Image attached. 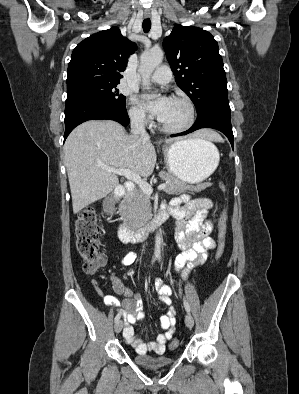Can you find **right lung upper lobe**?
Masks as SVG:
<instances>
[{
  "label": "right lung upper lobe",
  "mask_w": 299,
  "mask_h": 394,
  "mask_svg": "<svg viewBox=\"0 0 299 394\" xmlns=\"http://www.w3.org/2000/svg\"><path fill=\"white\" fill-rule=\"evenodd\" d=\"M137 46L111 27L80 42L68 65L67 88L92 82H120L128 57Z\"/></svg>",
  "instance_id": "cb5924a9"
}]
</instances>
